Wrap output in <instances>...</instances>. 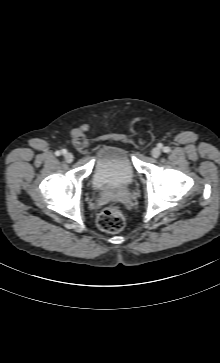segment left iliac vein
<instances>
[{
  "label": "left iliac vein",
  "mask_w": 220,
  "mask_h": 363,
  "mask_svg": "<svg viewBox=\"0 0 220 363\" xmlns=\"http://www.w3.org/2000/svg\"><path fill=\"white\" fill-rule=\"evenodd\" d=\"M151 154L154 158H157L161 155V149L159 147H154L151 151Z\"/></svg>",
  "instance_id": "left-iliac-vein-1"
}]
</instances>
